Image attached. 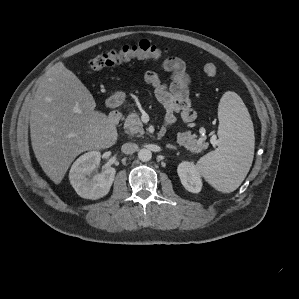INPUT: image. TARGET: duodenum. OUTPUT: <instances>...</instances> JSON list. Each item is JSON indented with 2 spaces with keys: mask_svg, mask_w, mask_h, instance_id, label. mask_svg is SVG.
I'll use <instances>...</instances> for the list:
<instances>
[{
  "mask_svg": "<svg viewBox=\"0 0 299 299\" xmlns=\"http://www.w3.org/2000/svg\"><path fill=\"white\" fill-rule=\"evenodd\" d=\"M122 118V112L119 109L118 105H114V108L111 110L108 116L109 123L112 126H117Z\"/></svg>",
  "mask_w": 299,
  "mask_h": 299,
  "instance_id": "1",
  "label": "duodenum"
}]
</instances>
